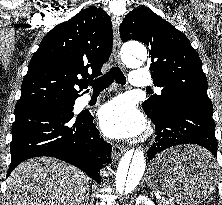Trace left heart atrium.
Returning a JSON list of instances; mask_svg holds the SVG:
<instances>
[{
    "mask_svg": "<svg viewBox=\"0 0 222 205\" xmlns=\"http://www.w3.org/2000/svg\"><path fill=\"white\" fill-rule=\"evenodd\" d=\"M99 125L110 137L130 138L143 131L145 122L135 105L130 100L120 97L100 109Z\"/></svg>",
    "mask_w": 222,
    "mask_h": 205,
    "instance_id": "1",
    "label": "left heart atrium"
}]
</instances>
